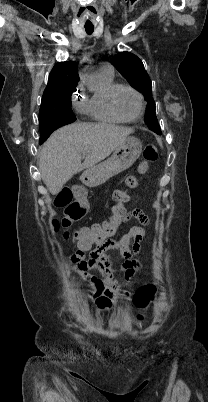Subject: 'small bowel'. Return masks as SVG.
Here are the masks:
<instances>
[{"label": "small bowel", "mask_w": 208, "mask_h": 402, "mask_svg": "<svg viewBox=\"0 0 208 402\" xmlns=\"http://www.w3.org/2000/svg\"><path fill=\"white\" fill-rule=\"evenodd\" d=\"M129 217H133L147 226L152 224L149 217L140 210L132 211ZM145 235L146 231L144 228L134 226L129 229L119 242H113L112 236L103 237L102 240L98 242V247L94 249V252L88 254L89 258L86 262H80L77 267H74L75 273L91 285V296L95 298L100 296L112 298L120 293L119 274L125 269L135 266L139 256L138 249H130L128 244L133 241L134 246L138 248ZM112 250H119L123 257L126 258V262L121 268L116 267L109 260V253ZM89 266H97L101 269L104 273V279L100 280L87 273ZM133 275V270L126 271L127 278H131Z\"/></svg>", "instance_id": "obj_1"}]
</instances>
